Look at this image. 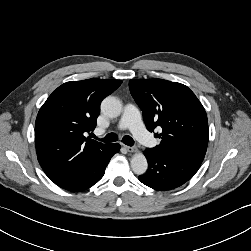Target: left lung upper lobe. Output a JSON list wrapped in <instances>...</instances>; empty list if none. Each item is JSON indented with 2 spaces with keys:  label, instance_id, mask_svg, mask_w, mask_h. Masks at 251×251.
I'll use <instances>...</instances> for the list:
<instances>
[{
  "label": "left lung upper lobe",
  "instance_id": "5c2ea615",
  "mask_svg": "<svg viewBox=\"0 0 251 251\" xmlns=\"http://www.w3.org/2000/svg\"><path fill=\"white\" fill-rule=\"evenodd\" d=\"M131 95L143 111L147 129L157 126L161 143L148 148L203 161L208 145V120L204 107L185 85L163 79L129 81Z\"/></svg>",
  "mask_w": 251,
  "mask_h": 251
}]
</instances>
